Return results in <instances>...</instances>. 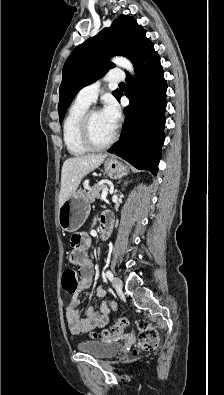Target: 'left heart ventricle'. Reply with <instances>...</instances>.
<instances>
[{
  "label": "left heart ventricle",
  "mask_w": 224,
  "mask_h": 395,
  "mask_svg": "<svg viewBox=\"0 0 224 395\" xmlns=\"http://www.w3.org/2000/svg\"><path fill=\"white\" fill-rule=\"evenodd\" d=\"M90 129L93 140L98 144H103L108 141L115 130V128L103 117L100 111L92 115Z\"/></svg>",
  "instance_id": "obj_1"
}]
</instances>
